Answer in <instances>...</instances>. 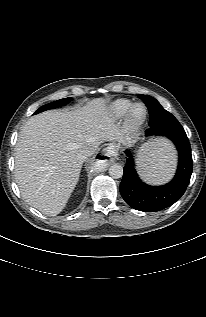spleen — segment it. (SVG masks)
<instances>
[{"mask_svg":"<svg viewBox=\"0 0 206 317\" xmlns=\"http://www.w3.org/2000/svg\"><path fill=\"white\" fill-rule=\"evenodd\" d=\"M174 149L167 140L145 145L139 152L137 168L142 179L152 184L167 181L175 164Z\"/></svg>","mask_w":206,"mask_h":317,"instance_id":"1","label":"spleen"}]
</instances>
